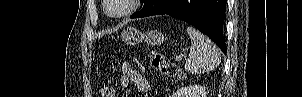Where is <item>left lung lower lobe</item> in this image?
<instances>
[{"label":"left lung lower lobe","mask_w":302,"mask_h":97,"mask_svg":"<svg viewBox=\"0 0 302 97\" xmlns=\"http://www.w3.org/2000/svg\"><path fill=\"white\" fill-rule=\"evenodd\" d=\"M226 0H151L131 18L167 14L181 19L206 34L226 53L223 22Z\"/></svg>","instance_id":"left-lung-lower-lobe-1"}]
</instances>
